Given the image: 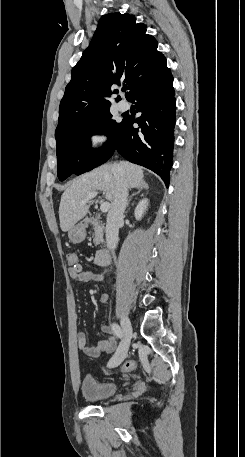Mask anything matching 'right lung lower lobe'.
I'll return each instance as SVG.
<instances>
[{
  "label": "right lung lower lobe",
  "instance_id": "obj_1",
  "mask_svg": "<svg viewBox=\"0 0 245 457\" xmlns=\"http://www.w3.org/2000/svg\"><path fill=\"white\" fill-rule=\"evenodd\" d=\"M169 68L140 83L131 93L141 116H125L115 150L130 162L157 173L169 185L174 147L176 98ZM137 123L139 128H133Z\"/></svg>",
  "mask_w": 245,
  "mask_h": 457
}]
</instances>
